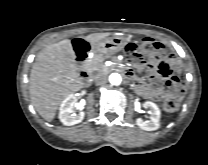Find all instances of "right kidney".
Masks as SVG:
<instances>
[{
    "label": "right kidney",
    "mask_w": 208,
    "mask_h": 165,
    "mask_svg": "<svg viewBox=\"0 0 208 165\" xmlns=\"http://www.w3.org/2000/svg\"><path fill=\"white\" fill-rule=\"evenodd\" d=\"M77 98L71 94L63 100L59 108V119L66 126H72L82 122L85 113L80 111L78 114H72L76 105Z\"/></svg>",
    "instance_id": "obj_1"
}]
</instances>
